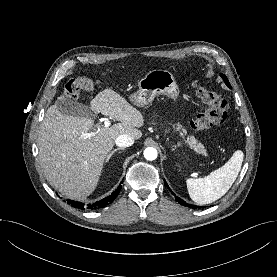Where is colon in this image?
I'll list each match as a JSON object with an SVG mask.
<instances>
[{
	"instance_id": "colon-1",
	"label": "colon",
	"mask_w": 277,
	"mask_h": 277,
	"mask_svg": "<svg viewBox=\"0 0 277 277\" xmlns=\"http://www.w3.org/2000/svg\"><path fill=\"white\" fill-rule=\"evenodd\" d=\"M94 83L88 77L76 76L70 78L64 87V94L70 99H77L81 91H91ZM196 95L204 104V108L190 121L193 130L207 132L214 125L223 123L227 118L228 104L217 91L199 83L194 84Z\"/></svg>"
}]
</instances>
